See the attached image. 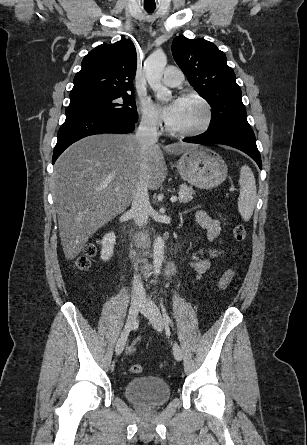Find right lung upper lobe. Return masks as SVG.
<instances>
[{"label": "right lung upper lobe", "instance_id": "1", "mask_svg": "<svg viewBox=\"0 0 307 445\" xmlns=\"http://www.w3.org/2000/svg\"><path fill=\"white\" fill-rule=\"evenodd\" d=\"M136 67V50L130 39L100 45L84 57L70 98L127 93L133 89Z\"/></svg>", "mask_w": 307, "mask_h": 445}]
</instances>
